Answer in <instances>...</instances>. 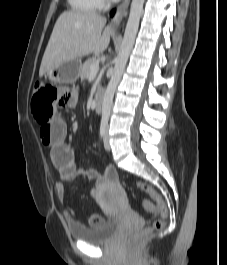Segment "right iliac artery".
<instances>
[{
    "mask_svg": "<svg viewBox=\"0 0 227 265\" xmlns=\"http://www.w3.org/2000/svg\"><path fill=\"white\" fill-rule=\"evenodd\" d=\"M106 129H107V123L102 122L100 125V136H101V138H103L105 136Z\"/></svg>",
    "mask_w": 227,
    "mask_h": 265,
    "instance_id": "obj_1",
    "label": "right iliac artery"
}]
</instances>
